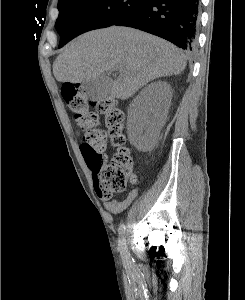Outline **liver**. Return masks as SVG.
Segmentation results:
<instances>
[{
    "mask_svg": "<svg viewBox=\"0 0 245 300\" xmlns=\"http://www.w3.org/2000/svg\"><path fill=\"white\" fill-rule=\"evenodd\" d=\"M186 65V56L168 41L136 29L112 26L70 42L55 59L53 74L62 83H84L119 70L109 93L125 100L154 79L180 74Z\"/></svg>",
    "mask_w": 245,
    "mask_h": 300,
    "instance_id": "1",
    "label": "liver"
}]
</instances>
